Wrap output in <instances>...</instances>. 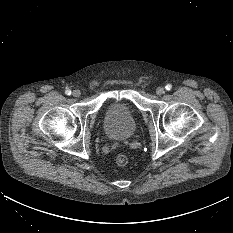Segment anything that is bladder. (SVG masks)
<instances>
[{
    "instance_id": "1",
    "label": "bladder",
    "mask_w": 233,
    "mask_h": 233,
    "mask_svg": "<svg viewBox=\"0 0 233 233\" xmlns=\"http://www.w3.org/2000/svg\"><path fill=\"white\" fill-rule=\"evenodd\" d=\"M103 129L113 140H125L136 131V119L125 101H112L105 109Z\"/></svg>"
}]
</instances>
